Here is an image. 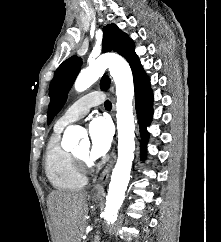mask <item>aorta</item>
Here are the masks:
<instances>
[{
    "label": "aorta",
    "instance_id": "762f6f07",
    "mask_svg": "<svg viewBox=\"0 0 221 242\" xmlns=\"http://www.w3.org/2000/svg\"><path fill=\"white\" fill-rule=\"evenodd\" d=\"M107 68L116 86L118 159L111 175L104 215L108 223H114L125 198L135 150L132 71L129 64L120 56H101L80 72L74 83V88L77 92L85 91L104 74ZM81 138V144L89 143L87 136L82 134L77 126H70L66 129L64 140L69 142L71 146H75Z\"/></svg>",
    "mask_w": 221,
    "mask_h": 242
}]
</instances>
